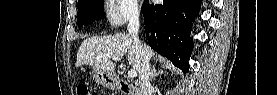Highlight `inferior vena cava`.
I'll return each instance as SVG.
<instances>
[{
  "instance_id": "obj_1",
  "label": "inferior vena cava",
  "mask_w": 277,
  "mask_h": 95,
  "mask_svg": "<svg viewBox=\"0 0 277 95\" xmlns=\"http://www.w3.org/2000/svg\"><path fill=\"white\" fill-rule=\"evenodd\" d=\"M139 15L140 10L138 6L132 9L129 23L127 26L128 34L133 40L137 58V71H138V84L140 87L141 95H151L152 86L149 80L150 66L149 57L146 52L145 46L138 38L139 32Z\"/></svg>"
}]
</instances>
